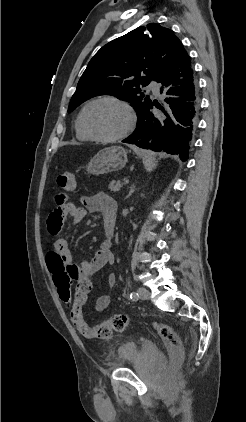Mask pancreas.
<instances>
[{
    "label": "pancreas",
    "mask_w": 246,
    "mask_h": 422,
    "mask_svg": "<svg viewBox=\"0 0 246 422\" xmlns=\"http://www.w3.org/2000/svg\"><path fill=\"white\" fill-rule=\"evenodd\" d=\"M121 187H122V184L120 183V181H114V180H112V181L110 182V184L108 185V188H109L110 190H112V191H117V190H119ZM116 188H117V190H116Z\"/></svg>",
    "instance_id": "pancreas-1"
}]
</instances>
